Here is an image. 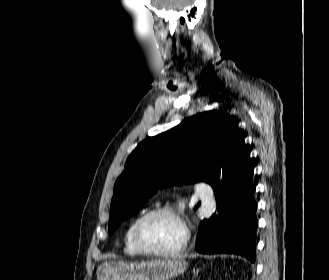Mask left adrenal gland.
Here are the masks:
<instances>
[{
    "label": "left adrenal gland",
    "mask_w": 329,
    "mask_h": 280,
    "mask_svg": "<svg viewBox=\"0 0 329 280\" xmlns=\"http://www.w3.org/2000/svg\"><path fill=\"white\" fill-rule=\"evenodd\" d=\"M192 273H193V277H195V276H197V275H198V273H199V270H198V269H197V270L193 269Z\"/></svg>",
    "instance_id": "left-adrenal-gland-1"
}]
</instances>
